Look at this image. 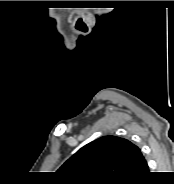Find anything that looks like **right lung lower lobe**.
Here are the masks:
<instances>
[{
  "instance_id": "right-lung-lower-lobe-1",
  "label": "right lung lower lobe",
  "mask_w": 174,
  "mask_h": 184,
  "mask_svg": "<svg viewBox=\"0 0 174 184\" xmlns=\"http://www.w3.org/2000/svg\"><path fill=\"white\" fill-rule=\"evenodd\" d=\"M148 174H149V169L147 166V168L143 172H141L138 176L130 179L129 181L122 182L121 184H141V183H144L143 181Z\"/></svg>"
}]
</instances>
